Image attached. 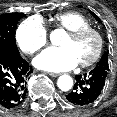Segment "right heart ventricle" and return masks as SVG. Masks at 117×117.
I'll return each mask as SVG.
<instances>
[{"instance_id":"obj_1","label":"right heart ventricle","mask_w":117,"mask_h":117,"mask_svg":"<svg viewBox=\"0 0 117 117\" xmlns=\"http://www.w3.org/2000/svg\"><path fill=\"white\" fill-rule=\"evenodd\" d=\"M53 21L56 26L66 31H73L90 26V21L78 12L58 13L53 17Z\"/></svg>"}]
</instances>
